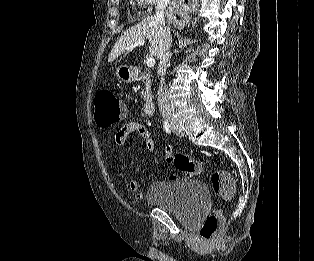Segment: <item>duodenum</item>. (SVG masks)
<instances>
[{
  "mask_svg": "<svg viewBox=\"0 0 314 261\" xmlns=\"http://www.w3.org/2000/svg\"><path fill=\"white\" fill-rule=\"evenodd\" d=\"M148 79V76L146 73L142 72V71H134L133 73V80L136 82H143L146 81ZM143 113L146 116H151L154 112V101L152 99V97H150L149 95H147L143 101Z\"/></svg>",
  "mask_w": 314,
  "mask_h": 261,
  "instance_id": "410a0bca",
  "label": "duodenum"
}]
</instances>
